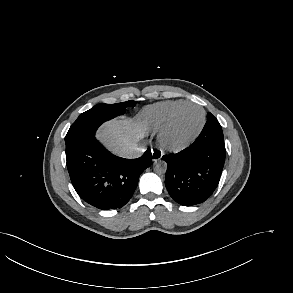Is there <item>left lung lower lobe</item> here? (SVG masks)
<instances>
[{
	"label": "left lung lower lobe",
	"mask_w": 293,
	"mask_h": 293,
	"mask_svg": "<svg viewBox=\"0 0 293 293\" xmlns=\"http://www.w3.org/2000/svg\"><path fill=\"white\" fill-rule=\"evenodd\" d=\"M225 155L222 128L209 118L189 147L162 157L168 165L165 185L170 196L184 206L204 202L219 183Z\"/></svg>",
	"instance_id": "0a47b994"
}]
</instances>
